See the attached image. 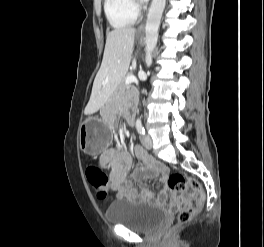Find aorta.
<instances>
[{
	"label": "aorta",
	"instance_id": "1",
	"mask_svg": "<svg viewBox=\"0 0 264 247\" xmlns=\"http://www.w3.org/2000/svg\"><path fill=\"white\" fill-rule=\"evenodd\" d=\"M165 6H166V0H152L145 26L146 62L152 60V52L154 51L157 44L158 29L160 26V22Z\"/></svg>",
	"mask_w": 264,
	"mask_h": 247
}]
</instances>
